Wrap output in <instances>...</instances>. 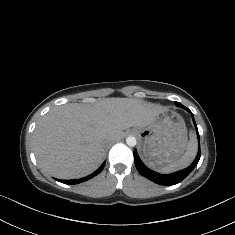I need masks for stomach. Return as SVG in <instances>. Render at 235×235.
I'll use <instances>...</instances> for the list:
<instances>
[{"mask_svg":"<svg viewBox=\"0 0 235 235\" xmlns=\"http://www.w3.org/2000/svg\"><path fill=\"white\" fill-rule=\"evenodd\" d=\"M141 156L149 167H162L179 159L187 148V129L177 112L164 109L146 127L136 128Z\"/></svg>","mask_w":235,"mask_h":235,"instance_id":"obj_1","label":"stomach"}]
</instances>
